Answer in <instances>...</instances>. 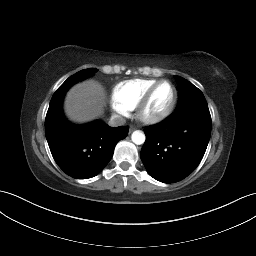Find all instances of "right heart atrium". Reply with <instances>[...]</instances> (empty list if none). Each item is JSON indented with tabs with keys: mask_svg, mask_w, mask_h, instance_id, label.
Listing matches in <instances>:
<instances>
[{
	"mask_svg": "<svg viewBox=\"0 0 256 256\" xmlns=\"http://www.w3.org/2000/svg\"><path fill=\"white\" fill-rule=\"evenodd\" d=\"M115 112L119 115V116H127L128 115V111L119 107H114Z\"/></svg>",
	"mask_w": 256,
	"mask_h": 256,
	"instance_id": "right-heart-atrium-1",
	"label": "right heart atrium"
}]
</instances>
